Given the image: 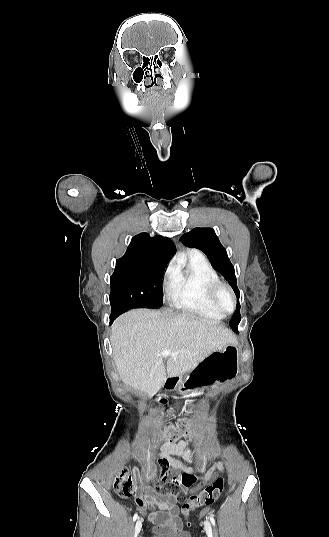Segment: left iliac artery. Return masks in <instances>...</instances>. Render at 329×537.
I'll return each mask as SVG.
<instances>
[{"mask_svg": "<svg viewBox=\"0 0 329 537\" xmlns=\"http://www.w3.org/2000/svg\"><path fill=\"white\" fill-rule=\"evenodd\" d=\"M209 519H210L212 525L215 526V519H214L213 515H210Z\"/></svg>", "mask_w": 329, "mask_h": 537, "instance_id": "left-iliac-artery-1", "label": "left iliac artery"}]
</instances>
